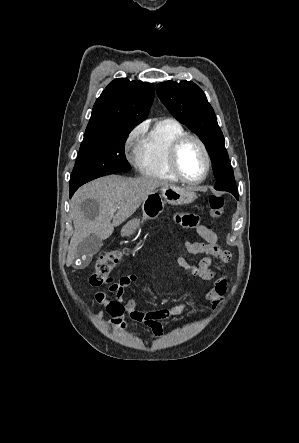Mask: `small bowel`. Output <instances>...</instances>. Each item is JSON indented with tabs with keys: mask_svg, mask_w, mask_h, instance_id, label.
Masks as SVG:
<instances>
[{
	"mask_svg": "<svg viewBox=\"0 0 299 443\" xmlns=\"http://www.w3.org/2000/svg\"><path fill=\"white\" fill-rule=\"evenodd\" d=\"M174 222L184 228L194 229L196 234L200 236L204 242L186 240L184 245L187 252L191 255H204V257L196 264L188 262L185 258L179 257L177 264L188 271L193 276L199 277L204 281H213L211 286L205 292L204 305L208 307H216L224 297L228 282L225 276L211 269L212 263L217 260L221 263H228L231 260V254L228 250L223 249L218 240L217 234L209 227L200 223V218L196 214L177 213L174 215ZM137 276L129 274L121 277L117 282L109 287V292L114 298H109L106 292H97L95 300L108 312L112 317L109 324L111 327L124 330L127 327L125 320L126 315L135 322H143L151 330L152 334L159 337L163 333L161 321L183 314L190 304L188 298H184L179 304L149 312H143L136 308L135 300L129 299L124 301L123 294L125 289L135 283ZM103 311L96 313V318H101Z\"/></svg>",
	"mask_w": 299,
	"mask_h": 443,
	"instance_id": "1",
	"label": "small bowel"
}]
</instances>
